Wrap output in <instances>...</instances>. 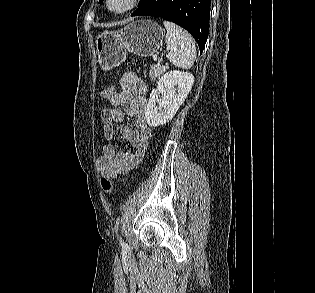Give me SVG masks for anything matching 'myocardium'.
Here are the masks:
<instances>
[{
  "instance_id": "1",
  "label": "myocardium",
  "mask_w": 315,
  "mask_h": 293,
  "mask_svg": "<svg viewBox=\"0 0 315 293\" xmlns=\"http://www.w3.org/2000/svg\"><path fill=\"white\" fill-rule=\"evenodd\" d=\"M110 1L111 0H105L104 4H105L106 11L109 12L110 14H112V15H123V14H126V13L132 11L133 9H135L139 5V3L141 2V0H128L127 5L124 8H122V9H120L118 11H114L109 6Z\"/></svg>"
}]
</instances>
